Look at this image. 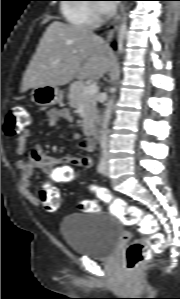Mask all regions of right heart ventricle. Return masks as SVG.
I'll use <instances>...</instances> for the list:
<instances>
[{"label":"right heart ventricle","mask_w":180,"mask_h":299,"mask_svg":"<svg viewBox=\"0 0 180 299\" xmlns=\"http://www.w3.org/2000/svg\"><path fill=\"white\" fill-rule=\"evenodd\" d=\"M85 1V0H67ZM66 21L76 27L87 28L94 25L93 11L89 4L67 3L62 7Z\"/></svg>","instance_id":"obj_1"}]
</instances>
